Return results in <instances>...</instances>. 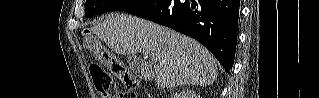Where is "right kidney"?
Listing matches in <instances>:
<instances>
[{"instance_id":"1","label":"right kidney","mask_w":319,"mask_h":98,"mask_svg":"<svg viewBox=\"0 0 319 98\" xmlns=\"http://www.w3.org/2000/svg\"><path fill=\"white\" fill-rule=\"evenodd\" d=\"M179 97H180V98H188L189 95H188V94H181ZM195 97H196V98H199V96H195Z\"/></svg>"}]
</instances>
